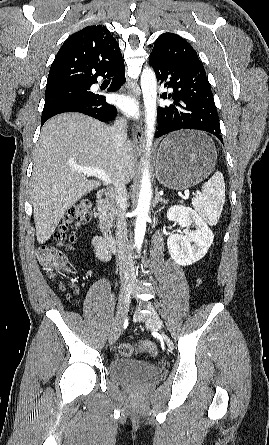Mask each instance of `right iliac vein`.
Segmentation results:
<instances>
[{"label": "right iliac vein", "mask_w": 269, "mask_h": 445, "mask_svg": "<svg viewBox=\"0 0 269 445\" xmlns=\"http://www.w3.org/2000/svg\"><path fill=\"white\" fill-rule=\"evenodd\" d=\"M132 290L131 288H123L121 290L120 296H119V307H118V317L117 321L115 322L110 336H109V343L112 345L114 344L122 330V324L124 320L125 313L127 312L130 304V297H131Z\"/></svg>", "instance_id": "obj_1"}]
</instances>
